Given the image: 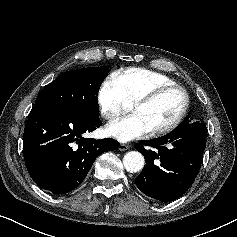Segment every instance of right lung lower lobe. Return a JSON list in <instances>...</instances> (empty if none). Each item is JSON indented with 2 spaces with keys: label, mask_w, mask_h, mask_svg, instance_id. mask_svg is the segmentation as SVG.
<instances>
[{
  "label": "right lung lower lobe",
  "mask_w": 237,
  "mask_h": 237,
  "mask_svg": "<svg viewBox=\"0 0 237 237\" xmlns=\"http://www.w3.org/2000/svg\"><path fill=\"white\" fill-rule=\"evenodd\" d=\"M102 122L85 119L59 108L34 105L23 134V154L34 182L54 194L75 189L101 153L116 150L113 139L84 138Z\"/></svg>",
  "instance_id": "right-lung-lower-lobe-1"
}]
</instances>
